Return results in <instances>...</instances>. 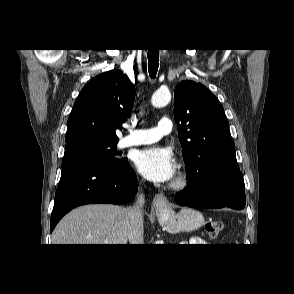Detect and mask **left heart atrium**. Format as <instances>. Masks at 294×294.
Instances as JSON below:
<instances>
[{
  "mask_svg": "<svg viewBox=\"0 0 294 294\" xmlns=\"http://www.w3.org/2000/svg\"><path fill=\"white\" fill-rule=\"evenodd\" d=\"M135 166L146 179L154 182H169L175 174L177 165L172 152L161 147H151L135 155Z\"/></svg>",
  "mask_w": 294,
  "mask_h": 294,
  "instance_id": "39dd6f15",
  "label": "left heart atrium"
}]
</instances>
